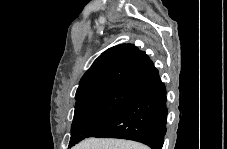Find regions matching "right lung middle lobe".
<instances>
[{
	"label": "right lung middle lobe",
	"instance_id": "1",
	"mask_svg": "<svg viewBox=\"0 0 227 149\" xmlns=\"http://www.w3.org/2000/svg\"><path fill=\"white\" fill-rule=\"evenodd\" d=\"M136 88L113 84L94 90L76 101L69 148L108 121Z\"/></svg>",
	"mask_w": 227,
	"mask_h": 149
}]
</instances>
